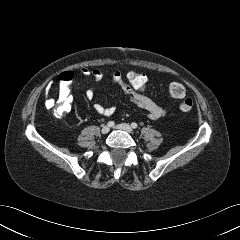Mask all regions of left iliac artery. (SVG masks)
<instances>
[{
    "instance_id": "1",
    "label": "left iliac artery",
    "mask_w": 240,
    "mask_h": 240,
    "mask_svg": "<svg viewBox=\"0 0 240 240\" xmlns=\"http://www.w3.org/2000/svg\"><path fill=\"white\" fill-rule=\"evenodd\" d=\"M131 126H132V128H134V129L137 128V124H136L135 122H133V123L131 124Z\"/></svg>"
}]
</instances>
